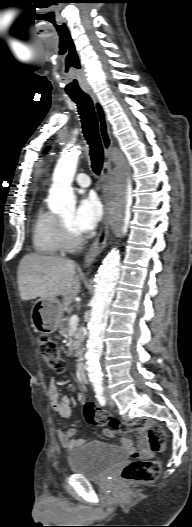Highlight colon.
Returning <instances> with one entry per match:
<instances>
[{"label":"colon","instance_id":"1","mask_svg":"<svg viewBox=\"0 0 192 527\" xmlns=\"http://www.w3.org/2000/svg\"><path fill=\"white\" fill-rule=\"evenodd\" d=\"M37 346L41 356L49 368L56 372H63L65 361L57 344L47 335H40L37 338ZM85 418L88 423L96 426H106L117 432H126L128 424L112 417L106 410L89 401L84 407ZM134 430H144L146 432L149 448L154 452H161L165 449L166 433L157 423L147 420H138L131 424ZM161 464L158 460L136 459L127 464L122 470L121 477L127 483H150L154 482L160 473Z\"/></svg>","mask_w":192,"mask_h":527}]
</instances>
